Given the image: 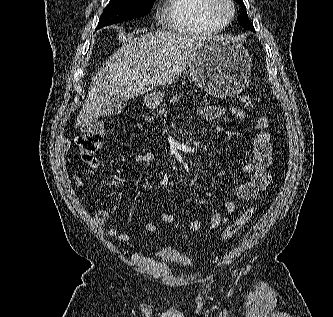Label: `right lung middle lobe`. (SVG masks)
Listing matches in <instances>:
<instances>
[{"instance_id":"right-lung-middle-lobe-1","label":"right lung middle lobe","mask_w":333,"mask_h":317,"mask_svg":"<svg viewBox=\"0 0 333 317\" xmlns=\"http://www.w3.org/2000/svg\"><path fill=\"white\" fill-rule=\"evenodd\" d=\"M154 2L155 0H110L99 19L97 29L144 16L150 12Z\"/></svg>"}]
</instances>
